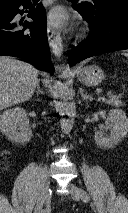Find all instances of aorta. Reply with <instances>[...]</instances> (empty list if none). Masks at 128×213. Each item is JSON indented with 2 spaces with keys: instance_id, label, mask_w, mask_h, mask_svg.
Returning <instances> with one entry per match:
<instances>
[{
  "instance_id": "762f6f07",
  "label": "aorta",
  "mask_w": 128,
  "mask_h": 213,
  "mask_svg": "<svg viewBox=\"0 0 128 213\" xmlns=\"http://www.w3.org/2000/svg\"><path fill=\"white\" fill-rule=\"evenodd\" d=\"M61 102L59 115L61 116V129L64 134H69L73 128V117L76 113L75 103L72 101V93L67 87H63L60 92Z\"/></svg>"
}]
</instances>
